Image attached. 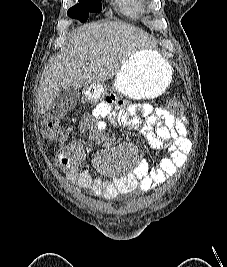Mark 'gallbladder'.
I'll list each match as a JSON object with an SVG mask.
<instances>
[{"label": "gallbladder", "instance_id": "gallbladder-1", "mask_svg": "<svg viewBox=\"0 0 227 267\" xmlns=\"http://www.w3.org/2000/svg\"><path fill=\"white\" fill-rule=\"evenodd\" d=\"M79 99L80 92L77 88L67 87L61 89L57 93L49 112L63 116L75 107Z\"/></svg>", "mask_w": 227, "mask_h": 267}]
</instances>
